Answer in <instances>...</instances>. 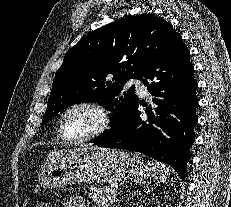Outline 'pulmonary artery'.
Here are the masks:
<instances>
[{
  "label": "pulmonary artery",
  "mask_w": 231,
  "mask_h": 207,
  "mask_svg": "<svg viewBox=\"0 0 231 207\" xmlns=\"http://www.w3.org/2000/svg\"><path fill=\"white\" fill-rule=\"evenodd\" d=\"M128 86H133L135 87L138 91H140L141 93H145V87L142 83V81L138 78H132L129 80L128 82Z\"/></svg>",
  "instance_id": "obj_1"
}]
</instances>
